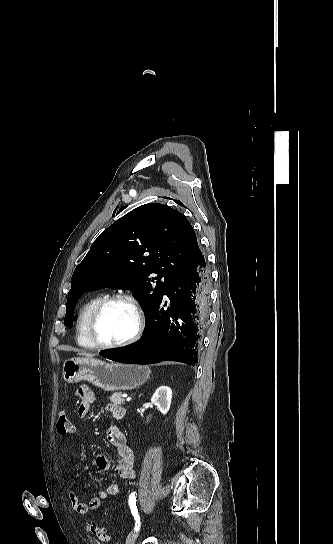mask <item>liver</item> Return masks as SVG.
I'll use <instances>...</instances> for the list:
<instances>
[{"label": "liver", "mask_w": 333, "mask_h": 544, "mask_svg": "<svg viewBox=\"0 0 333 544\" xmlns=\"http://www.w3.org/2000/svg\"><path fill=\"white\" fill-rule=\"evenodd\" d=\"M79 354L82 355V356H85L86 358H93L94 357V354H90V353L82 352V353H79Z\"/></svg>", "instance_id": "6515ba94"}]
</instances>
